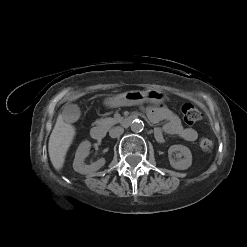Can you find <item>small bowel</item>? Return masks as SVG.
I'll return each mask as SVG.
<instances>
[{
    "instance_id": "c3829d8e",
    "label": "small bowel",
    "mask_w": 247,
    "mask_h": 247,
    "mask_svg": "<svg viewBox=\"0 0 247 247\" xmlns=\"http://www.w3.org/2000/svg\"><path fill=\"white\" fill-rule=\"evenodd\" d=\"M146 114L152 123L165 122L163 127L156 128L154 131L158 142L164 141V133L176 135L186 141L197 139V131L194 128L183 126L180 118L167 107H150L146 110Z\"/></svg>"
}]
</instances>
